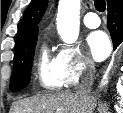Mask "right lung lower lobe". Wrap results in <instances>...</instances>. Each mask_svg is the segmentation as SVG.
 Listing matches in <instances>:
<instances>
[{
    "label": "right lung lower lobe",
    "mask_w": 123,
    "mask_h": 113,
    "mask_svg": "<svg viewBox=\"0 0 123 113\" xmlns=\"http://www.w3.org/2000/svg\"><path fill=\"white\" fill-rule=\"evenodd\" d=\"M107 27L110 31L113 47L123 42V0H109Z\"/></svg>",
    "instance_id": "obj_1"
}]
</instances>
